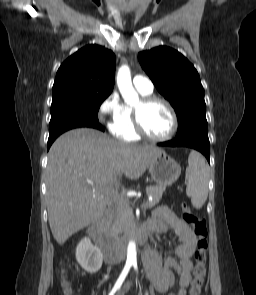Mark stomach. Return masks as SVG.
<instances>
[{
  "label": "stomach",
  "instance_id": "stomach-1",
  "mask_svg": "<svg viewBox=\"0 0 256 295\" xmlns=\"http://www.w3.org/2000/svg\"><path fill=\"white\" fill-rule=\"evenodd\" d=\"M148 168L152 179L163 186L172 185L181 174L180 165L164 151L153 158Z\"/></svg>",
  "mask_w": 256,
  "mask_h": 295
}]
</instances>
